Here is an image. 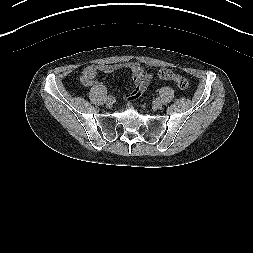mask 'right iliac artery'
Segmentation results:
<instances>
[{
	"instance_id": "obj_1",
	"label": "right iliac artery",
	"mask_w": 253,
	"mask_h": 253,
	"mask_svg": "<svg viewBox=\"0 0 253 253\" xmlns=\"http://www.w3.org/2000/svg\"><path fill=\"white\" fill-rule=\"evenodd\" d=\"M111 97H112V96L109 94V95H108V98H111Z\"/></svg>"
}]
</instances>
